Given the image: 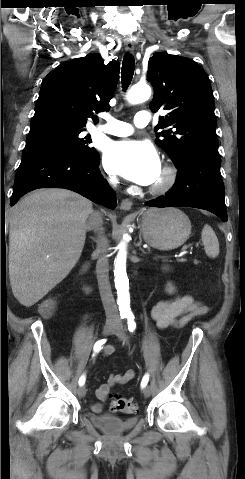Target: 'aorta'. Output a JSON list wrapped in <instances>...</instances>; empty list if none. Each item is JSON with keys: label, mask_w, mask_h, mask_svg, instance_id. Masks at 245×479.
<instances>
[{"label": "aorta", "mask_w": 245, "mask_h": 479, "mask_svg": "<svg viewBox=\"0 0 245 479\" xmlns=\"http://www.w3.org/2000/svg\"><path fill=\"white\" fill-rule=\"evenodd\" d=\"M151 96V88L146 84L134 85L127 94V99L132 104L142 103ZM126 242L119 244V252L115 259V287L117 290V303L120 313L127 315L130 310L129 280L126 274Z\"/></svg>", "instance_id": "762f6f07"}]
</instances>
